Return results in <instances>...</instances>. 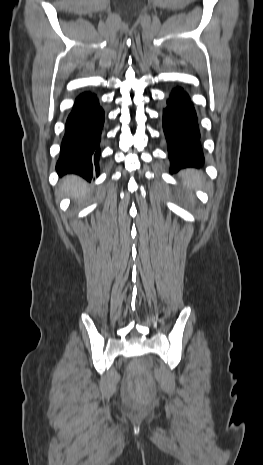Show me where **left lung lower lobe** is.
<instances>
[{"instance_id":"left-lung-lower-lobe-1","label":"left lung lower lobe","mask_w":263,"mask_h":465,"mask_svg":"<svg viewBox=\"0 0 263 465\" xmlns=\"http://www.w3.org/2000/svg\"><path fill=\"white\" fill-rule=\"evenodd\" d=\"M163 129L168 143L171 172L204 163L195 109L181 88L172 91L163 110Z\"/></svg>"}]
</instances>
